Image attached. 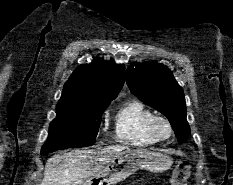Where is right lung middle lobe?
Segmentation results:
<instances>
[{
	"label": "right lung middle lobe",
	"instance_id": "1",
	"mask_svg": "<svg viewBox=\"0 0 233 185\" xmlns=\"http://www.w3.org/2000/svg\"><path fill=\"white\" fill-rule=\"evenodd\" d=\"M111 101L82 104L60 100L57 117L49 127V136L41 154L60 149L91 146L101 123V115Z\"/></svg>",
	"mask_w": 233,
	"mask_h": 185
}]
</instances>
